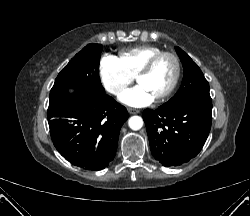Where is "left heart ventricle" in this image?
I'll return each mask as SVG.
<instances>
[{"instance_id": "1", "label": "left heart ventricle", "mask_w": 250, "mask_h": 216, "mask_svg": "<svg viewBox=\"0 0 250 216\" xmlns=\"http://www.w3.org/2000/svg\"><path fill=\"white\" fill-rule=\"evenodd\" d=\"M175 73V64L170 57L161 58L150 73L141 77L138 82L156 97L163 93L171 84Z\"/></svg>"}]
</instances>
